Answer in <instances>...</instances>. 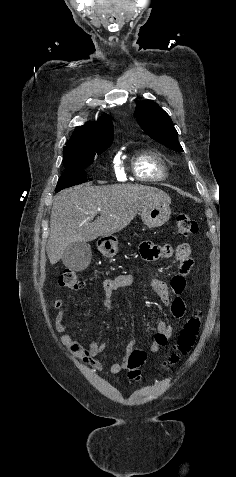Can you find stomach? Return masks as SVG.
Returning <instances> with one entry per match:
<instances>
[{
  "mask_svg": "<svg viewBox=\"0 0 236 477\" xmlns=\"http://www.w3.org/2000/svg\"><path fill=\"white\" fill-rule=\"evenodd\" d=\"M171 215L169 203L152 202L145 205L141 210V219L149 228H156L166 223ZM100 252L108 258L114 257L119 251V243L116 237H102L98 245Z\"/></svg>",
  "mask_w": 236,
  "mask_h": 477,
  "instance_id": "1",
  "label": "stomach"
}]
</instances>
